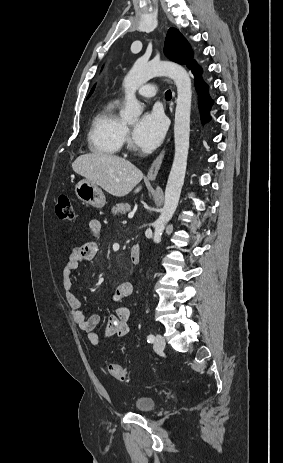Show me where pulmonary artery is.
I'll use <instances>...</instances> for the list:
<instances>
[{
    "mask_svg": "<svg viewBox=\"0 0 283 463\" xmlns=\"http://www.w3.org/2000/svg\"><path fill=\"white\" fill-rule=\"evenodd\" d=\"M157 91H158V88H157L156 85L148 84V85H145V86L141 87L138 90V94L140 96H142V97H145V98H151V97H154L157 94Z\"/></svg>",
    "mask_w": 283,
    "mask_h": 463,
    "instance_id": "obj_1",
    "label": "pulmonary artery"
}]
</instances>
